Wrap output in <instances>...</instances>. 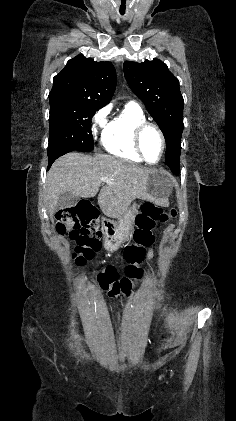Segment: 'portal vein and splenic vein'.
Wrapping results in <instances>:
<instances>
[{
	"mask_svg": "<svg viewBox=\"0 0 236 421\" xmlns=\"http://www.w3.org/2000/svg\"><path fill=\"white\" fill-rule=\"evenodd\" d=\"M101 180H103V182H111L112 178H107V176H102Z\"/></svg>",
	"mask_w": 236,
	"mask_h": 421,
	"instance_id": "18ae733b",
	"label": "portal vein and splenic vein"
}]
</instances>
